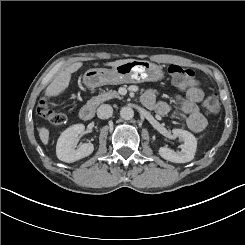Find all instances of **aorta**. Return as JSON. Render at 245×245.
I'll return each instance as SVG.
<instances>
[{
	"label": "aorta",
	"mask_w": 245,
	"mask_h": 245,
	"mask_svg": "<svg viewBox=\"0 0 245 245\" xmlns=\"http://www.w3.org/2000/svg\"><path fill=\"white\" fill-rule=\"evenodd\" d=\"M120 116L124 120H130V119H132L134 117V111L130 107H123L120 110Z\"/></svg>",
	"instance_id": "obj_1"
}]
</instances>
